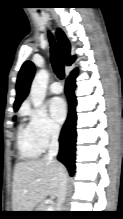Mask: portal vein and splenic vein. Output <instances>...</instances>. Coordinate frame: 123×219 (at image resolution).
I'll use <instances>...</instances> for the list:
<instances>
[{"instance_id":"18ae733b","label":"portal vein and splenic vein","mask_w":123,"mask_h":219,"mask_svg":"<svg viewBox=\"0 0 123 219\" xmlns=\"http://www.w3.org/2000/svg\"><path fill=\"white\" fill-rule=\"evenodd\" d=\"M46 211H53V206L52 205L48 206Z\"/></svg>"}]
</instances>
